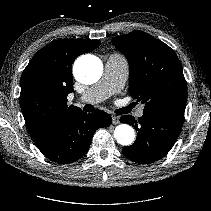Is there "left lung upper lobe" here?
<instances>
[{"mask_svg": "<svg viewBox=\"0 0 211 211\" xmlns=\"http://www.w3.org/2000/svg\"><path fill=\"white\" fill-rule=\"evenodd\" d=\"M113 45L129 62V93L145 110L185 108L187 86L176 53L144 32L112 38Z\"/></svg>", "mask_w": 211, "mask_h": 211, "instance_id": "left-lung-upper-lobe-1", "label": "left lung upper lobe"}]
</instances>
